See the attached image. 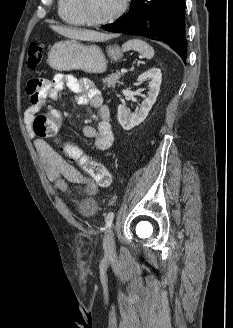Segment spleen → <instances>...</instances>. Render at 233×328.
<instances>
[{
  "instance_id": "1",
  "label": "spleen",
  "mask_w": 233,
  "mask_h": 328,
  "mask_svg": "<svg viewBox=\"0 0 233 328\" xmlns=\"http://www.w3.org/2000/svg\"><path fill=\"white\" fill-rule=\"evenodd\" d=\"M123 51L134 50L142 55V57L151 59L154 56V49L148 43L140 39H131L126 41L122 46Z\"/></svg>"
}]
</instances>
